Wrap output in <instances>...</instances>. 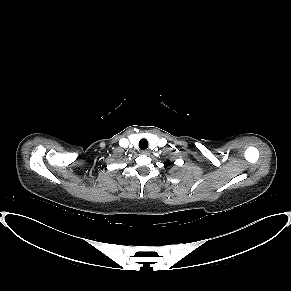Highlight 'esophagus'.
Returning <instances> with one entry per match:
<instances>
[{
    "label": "esophagus",
    "mask_w": 291,
    "mask_h": 291,
    "mask_svg": "<svg viewBox=\"0 0 291 291\" xmlns=\"http://www.w3.org/2000/svg\"><path fill=\"white\" fill-rule=\"evenodd\" d=\"M141 153L144 154V155H149L150 154V150L146 149V150H143Z\"/></svg>",
    "instance_id": "obj_1"
}]
</instances>
